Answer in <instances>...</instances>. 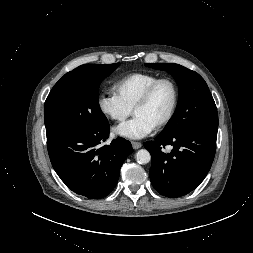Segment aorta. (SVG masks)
Listing matches in <instances>:
<instances>
[{"mask_svg": "<svg viewBox=\"0 0 253 253\" xmlns=\"http://www.w3.org/2000/svg\"><path fill=\"white\" fill-rule=\"evenodd\" d=\"M136 160L140 164H147L151 160V155L148 150L141 149L136 153Z\"/></svg>", "mask_w": 253, "mask_h": 253, "instance_id": "1", "label": "aorta"}]
</instances>
